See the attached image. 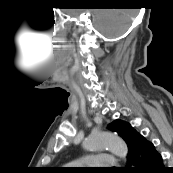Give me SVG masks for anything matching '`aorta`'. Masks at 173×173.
Returning a JSON list of instances; mask_svg holds the SVG:
<instances>
[{"label":"aorta","instance_id":"obj_1","mask_svg":"<svg viewBox=\"0 0 173 173\" xmlns=\"http://www.w3.org/2000/svg\"><path fill=\"white\" fill-rule=\"evenodd\" d=\"M84 147L91 152L108 149L112 154L123 159L126 158L128 154V147L124 140L110 132H97L91 134L85 140Z\"/></svg>","mask_w":173,"mask_h":173}]
</instances>
